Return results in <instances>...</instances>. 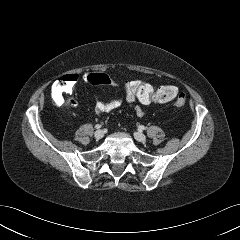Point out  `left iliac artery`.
I'll use <instances>...</instances> for the list:
<instances>
[{
  "instance_id": "44dca946",
  "label": "left iliac artery",
  "mask_w": 240,
  "mask_h": 240,
  "mask_svg": "<svg viewBox=\"0 0 240 240\" xmlns=\"http://www.w3.org/2000/svg\"><path fill=\"white\" fill-rule=\"evenodd\" d=\"M145 129H146L145 126H143V125L139 126V130H140V131L145 130Z\"/></svg>"
}]
</instances>
